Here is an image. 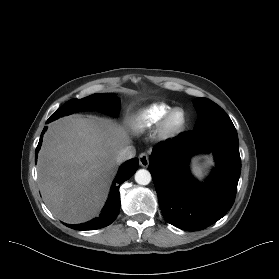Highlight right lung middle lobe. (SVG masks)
Returning <instances> with one entry per match:
<instances>
[{"mask_svg": "<svg viewBox=\"0 0 279 279\" xmlns=\"http://www.w3.org/2000/svg\"><path fill=\"white\" fill-rule=\"evenodd\" d=\"M119 99L113 94H94L83 99H72L53 113L47 122L54 121L64 115H69L80 110L97 109L116 115L119 112Z\"/></svg>", "mask_w": 279, "mask_h": 279, "instance_id": "right-lung-middle-lobe-1", "label": "right lung middle lobe"}]
</instances>
